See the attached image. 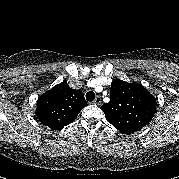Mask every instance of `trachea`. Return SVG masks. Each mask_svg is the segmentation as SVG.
<instances>
[{
	"label": "trachea",
	"instance_id": "1",
	"mask_svg": "<svg viewBox=\"0 0 179 179\" xmlns=\"http://www.w3.org/2000/svg\"><path fill=\"white\" fill-rule=\"evenodd\" d=\"M86 99H87V101H89V102L94 101V99H95V93L92 92V91L87 92V93H86Z\"/></svg>",
	"mask_w": 179,
	"mask_h": 179
}]
</instances>
